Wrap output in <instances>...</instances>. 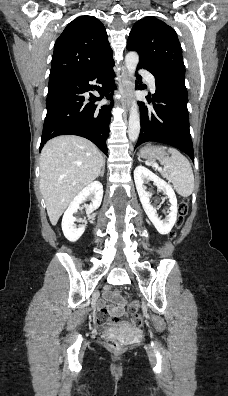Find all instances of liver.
<instances>
[{"mask_svg":"<svg viewBox=\"0 0 228 396\" xmlns=\"http://www.w3.org/2000/svg\"><path fill=\"white\" fill-rule=\"evenodd\" d=\"M104 163L99 149L79 136H58L45 144L40 155V191L52 225L96 179Z\"/></svg>","mask_w":228,"mask_h":396,"instance_id":"obj_1","label":"liver"}]
</instances>
